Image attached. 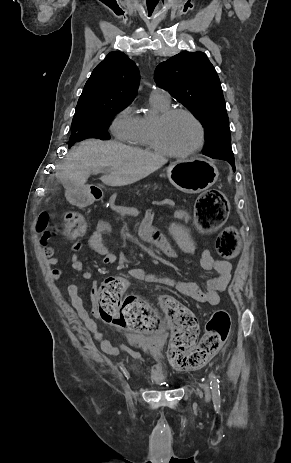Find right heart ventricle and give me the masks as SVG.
I'll return each instance as SVG.
<instances>
[{
    "label": "right heart ventricle",
    "mask_w": 291,
    "mask_h": 463,
    "mask_svg": "<svg viewBox=\"0 0 291 463\" xmlns=\"http://www.w3.org/2000/svg\"><path fill=\"white\" fill-rule=\"evenodd\" d=\"M152 106L159 113L167 110L169 108V103H163L157 99L150 97ZM137 119V130L135 137L133 139V144L144 147H152L150 142V125L152 120L146 116H136Z\"/></svg>",
    "instance_id": "obj_1"
}]
</instances>
